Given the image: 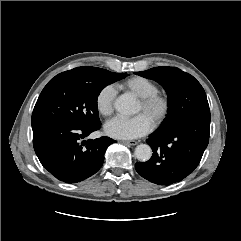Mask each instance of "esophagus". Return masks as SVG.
Instances as JSON below:
<instances>
[{"label": "esophagus", "mask_w": 241, "mask_h": 241, "mask_svg": "<svg viewBox=\"0 0 241 241\" xmlns=\"http://www.w3.org/2000/svg\"><path fill=\"white\" fill-rule=\"evenodd\" d=\"M125 144H128V145H132V146H135L138 144L137 141L135 140H130V141H123Z\"/></svg>", "instance_id": "obj_1"}]
</instances>
